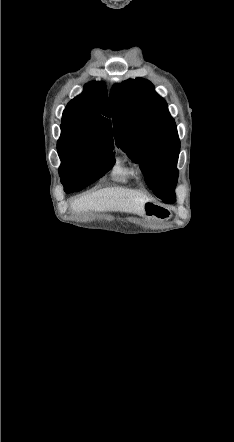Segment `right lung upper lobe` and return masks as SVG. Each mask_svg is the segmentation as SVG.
<instances>
[{"label":"right lung upper lobe","instance_id":"obj_1","mask_svg":"<svg viewBox=\"0 0 234 442\" xmlns=\"http://www.w3.org/2000/svg\"><path fill=\"white\" fill-rule=\"evenodd\" d=\"M106 103L105 83L86 84L82 94L68 103L61 126L70 129L85 142L113 146L111 123L106 118L110 117Z\"/></svg>","mask_w":234,"mask_h":442}]
</instances>
